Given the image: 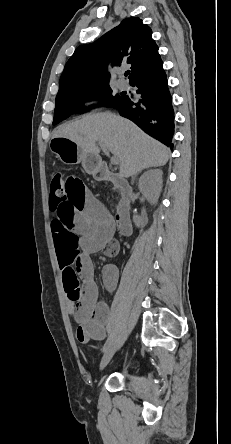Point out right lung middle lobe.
Wrapping results in <instances>:
<instances>
[{"label":"right lung middle lobe","mask_w":231,"mask_h":444,"mask_svg":"<svg viewBox=\"0 0 231 444\" xmlns=\"http://www.w3.org/2000/svg\"><path fill=\"white\" fill-rule=\"evenodd\" d=\"M98 96L104 99L107 106L112 107L125 95L122 93L113 94L109 85H102L91 88L73 90L56 96V107L54 110L53 124L56 125L73 114L79 105L87 98Z\"/></svg>","instance_id":"1"}]
</instances>
